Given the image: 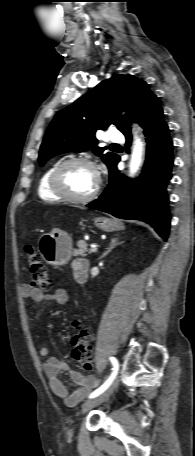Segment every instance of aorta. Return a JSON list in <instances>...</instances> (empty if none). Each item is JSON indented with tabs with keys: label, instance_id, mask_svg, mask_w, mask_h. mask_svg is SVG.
<instances>
[{
	"label": "aorta",
	"instance_id": "762f6f07",
	"mask_svg": "<svg viewBox=\"0 0 195 456\" xmlns=\"http://www.w3.org/2000/svg\"><path fill=\"white\" fill-rule=\"evenodd\" d=\"M143 143L140 138L135 137L132 155L130 159L129 175L134 176L142 163Z\"/></svg>",
	"mask_w": 195,
	"mask_h": 456
}]
</instances>
